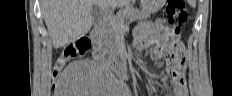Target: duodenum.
<instances>
[{
  "label": "duodenum",
  "instance_id": "410a0bca",
  "mask_svg": "<svg viewBox=\"0 0 232 96\" xmlns=\"http://www.w3.org/2000/svg\"><path fill=\"white\" fill-rule=\"evenodd\" d=\"M99 31L100 29L98 27L93 28L90 33L91 38L95 39L98 36ZM94 57L98 60H104L105 62L109 61L110 65L113 67L118 77L124 79L129 76L130 69L128 63L124 59L121 58L115 61L111 58L110 54L99 49L94 50Z\"/></svg>",
  "mask_w": 232,
  "mask_h": 96
}]
</instances>
